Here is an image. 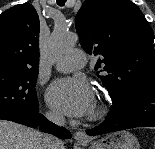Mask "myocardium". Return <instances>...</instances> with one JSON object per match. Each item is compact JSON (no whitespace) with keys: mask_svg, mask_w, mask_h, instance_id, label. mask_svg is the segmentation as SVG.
<instances>
[{"mask_svg":"<svg viewBox=\"0 0 155 149\" xmlns=\"http://www.w3.org/2000/svg\"><path fill=\"white\" fill-rule=\"evenodd\" d=\"M105 113V108L101 103L94 104L93 109L89 113L88 119L91 121L100 119Z\"/></svg>","mask_w":155,"mask_h":149,"instance_id":"f54148a6","label":"myocardium"}]
</instances>
